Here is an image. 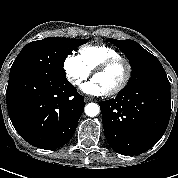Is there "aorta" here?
<instances>
[{"label": "aorta", "instance_id": "762f6f07", "mask_svg": "<svg viewBox=\"0 0 178 178\" xmlns=\"http://www.w3.org/2000/svg\"><path fill=\"white\" fill-rule=\"evenodd\" d=\"M100 108L96 103H89L85 106V113L89 117H95L99 114Z\"/></svg>", "mask_w": 178, "mask_h": 178}]
</instances>
